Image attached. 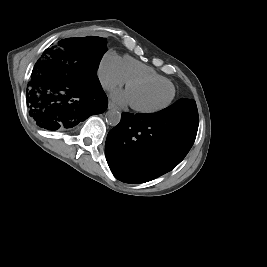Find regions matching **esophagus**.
I'll list each match as a JSON object with an SVG mask.
<instances>
[{
	"instance_id": "esophagus-1",
	"label": "esophagus",
	"mask_w": 267,
	"mask_h": 267,
	"mask_svg": "<svg viewBox=\"0 0 267 267\" xmlns=\"http://www.w3.org/2000/svg\"><path fill=\"white\" fill-rule=\"evenodd\" d=\"M108 109H110V110H112V109L118 110V107L113 102L109 101Z\"/></svg>"
}]
</instances>
